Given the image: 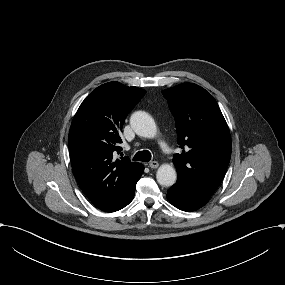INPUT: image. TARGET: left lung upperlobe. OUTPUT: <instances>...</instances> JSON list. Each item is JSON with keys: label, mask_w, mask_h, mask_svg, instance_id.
I'll return each instance as SVG.
<instances>
[{"label": "left lung upper lobe", "mask_w": 285, "mask_h": 285, "mask_svg": "<svg viewBox=\"0 0 285 285\" xmlns=\"http://www.w3.org/2000/svg\"><path fill=\"white\" fill-rule=\"evenodd\" d=\"M176 120L183 149L173 163L178 181L212 195L223 180L231 157V137L216 100L202 87L183 83L162 91Z\"/></svg>", "instance_id": "obj_1"}]
</instances>
